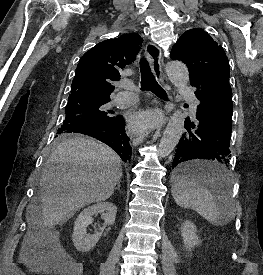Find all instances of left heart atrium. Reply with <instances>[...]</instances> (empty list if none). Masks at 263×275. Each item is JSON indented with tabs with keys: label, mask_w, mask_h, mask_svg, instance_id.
Returning a JSON list of instances; mask_svg holds the SVG:
<instances>
[{
	"label": "left heart atrium",
	"mask_w": 263,
	"mask_h": 275,
	"mask_svg": "<svg viewBox=\"0 0 263 275\" xmlns=\"http://www.w3.org/2000/svg\"><path fill=\"white\" fill-rule=\"evenodd\" d=\"M154 120L155 118L152 114L140 112L131 117L130 126L135 132H142L149 128Z\"/></svg>",
	"instance_id": "1"
}]
</instances>
